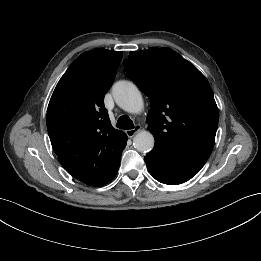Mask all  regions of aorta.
<instances>
[{
	"mask_svg": "<svg viewBox=\"0 0 261 261\" xmlns=\"http://www.w3.org/2000/svg\"><path fill=\"white\" fill-rule=\"evenodd\" d=\"M112 94L116 104L128 113L137 114L144 108L143 98L139 89L131 82L119 81L114 84ZM154 137L149 131L138 132L134 139V148L147 153L154 147Z\"/></svg>",
	"mask_w": 261,
	"mask_h": 261,
	"instance_id": "aorta-1",
	"label": "aorta"
}]
</instances>
